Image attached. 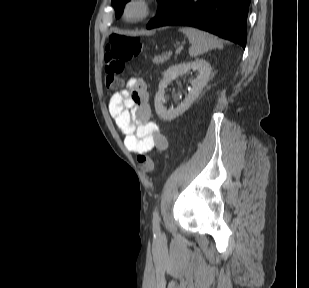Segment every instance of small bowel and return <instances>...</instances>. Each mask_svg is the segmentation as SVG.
<instances>
[{"instance_id":"1","label":"small bowel","mask_w":309,"mask_h":288,"mask_svg":"<svg viewBox=\"0 0 309 288\" xmlns=\"http://www.w3.org/2000/svg\"><path fill=\"white\" fill-rule=\"evenodd\" d=\"M108 109L129 152L140 154L167 149V138L151 119L148 91L142 80L131 79L126 89L114 93Z\"/></svg>"}]
</instances>
